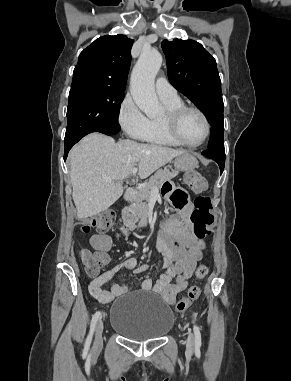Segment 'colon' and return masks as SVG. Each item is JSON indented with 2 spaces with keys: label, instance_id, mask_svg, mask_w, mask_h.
I'll return each mask as SVG.
<instances>
[{
  "label": "colon",
  "instance_id": "colon-1",
  "mask_svg": "<svg viewBox=\"0 0 291 381\" xmlns=\"http://www.w3.org/2000/svg\"><path fill=\"white\" fill-rule=\"evenodd\" d=\"M186 182L190 188L198 193L195 200V210L191 214V221L193 224L194 234L199 239H207L211 236L212 225L214 222V216L211 213L212 204L210 198L204 194L207 189L205 179L199 173H190L186 176ZM184 199L177 201L178 205H182ZM115 221V214L112 211H103L97 215L88 218L80 226V231L88 233L92 229L98 233H104L108 231ZM79 256L82 263L85 265L86 273L89 276L98 275L100 269L105 266L109 257L105 252H91L87 249H81ZM208 274V266L206 264H200L196 271L195 276L198 279H204ZM201 293L199 286H191L186 296L181 298L175 305V310L179 313L185 312L191 303L195 301Z\"/></svg>",
  "mask_w": 291,
  "mask_h": 381
}]
</instances>
